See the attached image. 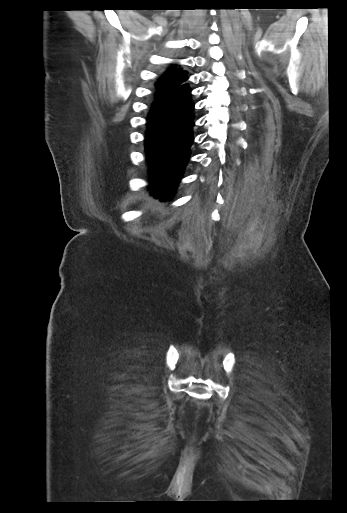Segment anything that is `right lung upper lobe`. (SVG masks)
Listing matches in <instances>:
<instances>
[{
	"label": "right lung upper lobe",
	"instance_id": "obj_1",
	"mask_svg": "<svg viewBox=\"0 0 347 513\" xmlns=\"http://www.w3.org/2000/svg\"><path fill=\"white\" fill-rule=\"evenodd\" d=\"M187 72L175 69L173 66L167 70L156 83V94L165 96L184 85Z\"/></svg>",
	"mask_w": 347,
	"mask_h": 513
}]
</instances>
